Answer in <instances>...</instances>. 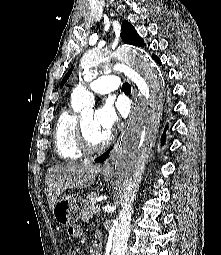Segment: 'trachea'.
Masks as SVG:
<instances>
[{"label": "trachea", "instance_id": "obj_1", "mask_svg": "<svg viewBox=\"0 0 221 255\" xmlns=\"http://www.w3.org/2000/svg\"><path fill=\"white\" fill-rule=\"evenodd\" d=\"M122 90H123L125 93H130V92H131V86H130L128 83H123V85H122Z\"/></svg>", "mask_w": 221, "mask_h": 255}]
</instances>
